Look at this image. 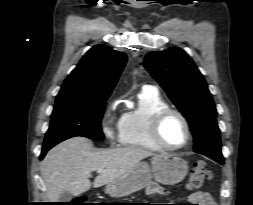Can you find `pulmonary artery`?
Masks as SVG:
<instances>
[{
  "label": "pulmonary artery",
  "mask_w": 253,
  "mask_h": 205,
  "mask_svg": "<svg viewBox=\"0 0 253 205\" xmlns=\"http://www.w3.org/2000/svg\"><path fill=\"white\" fill-rule=\"evenodd\" d=\"M143 89H152V90H156V87L155 86H152V85H145L143 87Z\"/></svg>",
  "instance_id": "1"
}]
</instances>
